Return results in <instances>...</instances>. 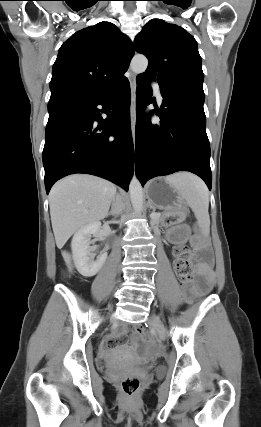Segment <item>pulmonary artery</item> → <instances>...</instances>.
Segmentation results:
<instances>
[{"instance_id": "obj_1", "label": "pulmonary artery", "mask_w": 261, "mask_h": 427, "mask_svg": "<svg viewBox=\"0 0 261 427\" xmlns=\"http://www.w3.org/2000/svg\"><path fill=\"white\" fill-rule=\"evenodd\" d=\"M152 87H153V90H154V92H155V95H156L157 101L161 104V103H162V100H163V97H162V94H161V90H160L159 85H158L157 83H153V84H152Z\"/></svg>"}]
</instances>
